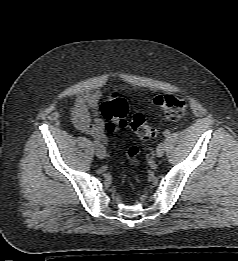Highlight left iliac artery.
<instances>
[{"label": "left iliac artery", "mask_w": 238, "mask_h": 261, "mask_svg": "<svg viewBox=\"0 0 238 261\" xmlns=\"http://www.w3.org/2000/svg\"><path fill=\"white\" fill-rule=\"evenodd\" d=\"M169 135H170V131L166 130V131L164 132V136H165V137H168Z\"/></svg>", "instance_id": "obj_1"}]
</instances>
